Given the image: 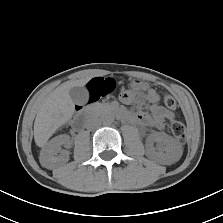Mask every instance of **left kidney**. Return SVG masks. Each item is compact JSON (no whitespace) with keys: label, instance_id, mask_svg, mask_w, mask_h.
Returning a JSON list of instances; mask_svg holds the SVG:
<instances>
[{"label":"left kidney","instance_id":"left-kidney-1","mask_svg":"<svg viewBox=\"0 0 223 223\" xmlns=\"http://www.w3.org/2000/svg\"><path fill=\"white\" fill-rule=\"evenodd\" d=\"M154 142L157 143L156 147L153 145ZM147 155L157 162L172 164L180 159L182 148L171 136L154 133L148 138Z\"/></svg>","mask_w":223,"mask_h":223}]
</instances>
